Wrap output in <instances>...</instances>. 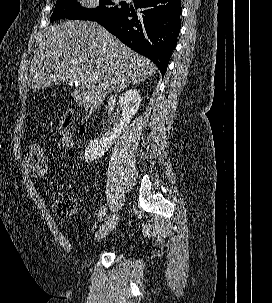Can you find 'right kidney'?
I'll return each instance as SVG.
<instances>
[{"instance_id": "1", "label": "right kidney", "mask_w": 272, "mask_h": 303, "mask_svg": "<svg viewBox=\"0 0 272 303\" xmlns=\"http://www.w3.org/2000/svg\"><path fill=\"white\" fill-rule=\"evenodd\" d=\"M140 103V91L137 89H130L120 96L119 105L122 110V116L119 123L109 137L90 141L84 153L85 162L101 158L110 149L115 139L120 136L121 132L128 126L131 119L137 113Z\"/></svg>"}]
</instances>
